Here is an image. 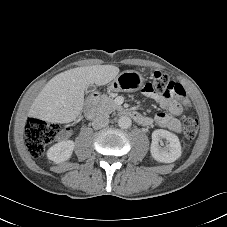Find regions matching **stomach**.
Instances as JSON below:
<instances>
[{
	"label": "stomach",
	"instance_id": "stomach-1",
	"mask_svg": "<svg viewBox=\"0 0 227 227\" xmlns=\"http://www.w3.org/2000/svg\"><path fill=\"white\" fill-rule=\"evenodd\" d=\"M144 83L142 75L134 70L123 71L117 75L109 85L113 92H135L141 89Z\"/></svg>",
	"mask_w": 227,
	"mask_h": 227
}]
</instances>
